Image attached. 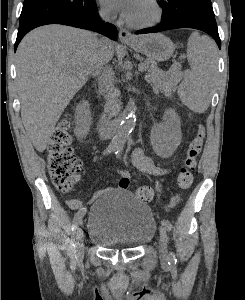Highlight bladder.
I'll return each instance as SVG.
<instances>
[{
  "instance_id": "31cf9c89",
  "label": "bladder",
  "mask_w": 245,
  "mask_h": 300,
  "mask_svg": "<svg viewBox=\"0 0 245 300\" xmlns=\"http://www.w3.org/2000/svg\"><path fill=\"white\" fill-rule=\"evenodd\" d=\"M86 230L100 247L136 249L154 238L157 223L150 207L130 191L111 189L91 205Z\"/></svg>"
}]
</instances>
